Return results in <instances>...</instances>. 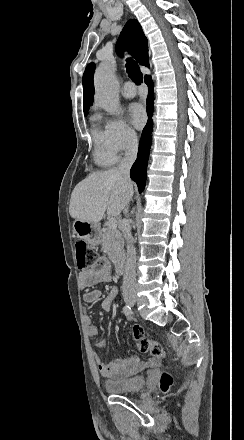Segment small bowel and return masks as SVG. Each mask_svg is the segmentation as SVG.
<instances>
[{"instance_id": "1", "label": "small bowel", "mask_w": 244, "mask_h": 440, "mask_svg": "<svg viewBox=\"0 0 244 440\" xmlns=\"http://www.w3.org/2000/svg\"><path fill=\"white\" fill-rule=\"evenodd\" d=\"M109 266L107 260L99 257L96 264L89 267L80 274V285L82 288H89L98 283L109 280ZM101 291L98 289H91L83 294V300L88 303H93L99 300ZM118 297V291L112 289L105 307L109 308V303ZM84 324L86 326L87 334L94 337L98 333L96 324L93 323L92 317L89 314L83 316ZM100 348L104 347L103 343L99 344ZM98 372L103 378L107 380L127 381L139 374L141 371L149 367H156L159 362L153 358L150 362L140 361L134 355H129L110 363L103 362L101 355L98 352L93 353Z\"/></svg>"}]
</instances>
